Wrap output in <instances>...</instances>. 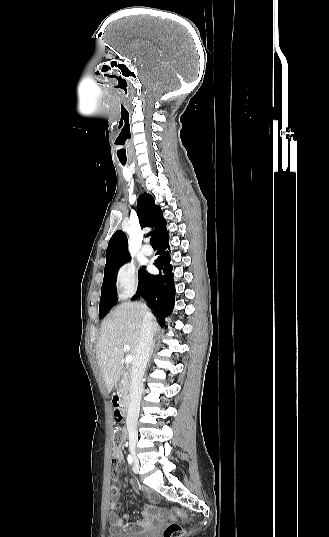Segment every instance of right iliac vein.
I'll return each instance as SVG.
<instances>
[{
	"label": "right iliac vein",
	"mask_w": 329,
	"mask_h": 537,
	"mask_svg": "<svg viewBox=\"0 0 329 537\" xmlns=\"http://www.w3.org/2000/svg\"><path fill=\"white\" fill-rule=\"evenodd\" d=\"M135 444H136V439L134 437H131L130 438V451H131L132 455L134 456V458H135ZM135 461H136V464H137L136 458H135Z\"/></svg>",
	"instance_id": "right-iliac-vein-1"
}]
</instances>
